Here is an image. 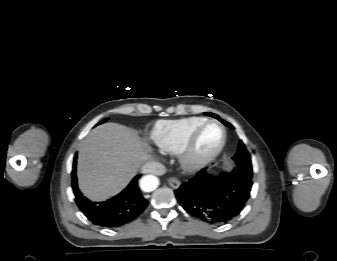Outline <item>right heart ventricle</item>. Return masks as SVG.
Segmentation results:
<instances>
[{"label": "right heart ventricle", "mask_w": 337, "mask_h": 261, "mask_svg": "<svg viewBox=\"0 0 337 261\" xmlns=\"http://www.w3.org/2000/svg\"><path fill=\"white\" fill-rule=\"evenodd\" d=\"M205 121L206 119L203 117L162 120L155 124L152 138L163 151L178 154L192 131Z\"/></svg>", "instance_id": "obj_1"}]
</instances>
